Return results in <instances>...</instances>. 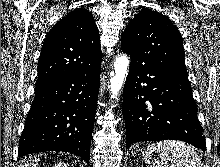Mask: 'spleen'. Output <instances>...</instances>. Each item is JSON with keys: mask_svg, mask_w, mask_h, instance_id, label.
Wrapping results in <instances>:
<instances>
[{"mask_svg": "<svg viewBox=\"0 0 220 167\" xmlns=\"http://www.w3.org/2000/svg\"><path fill=\"white\" fill-rule=\"evenodd\" d=\"M154 153L159 154L161 161L157 158H151ZM143 156L150 164V167H166L168 162L171 164V167H203L201 159L194 148L177 140L153 143L147 146ZM163 161L166 162L165 165ZM151 162H153V166Z\"/></svg>", "mask_w": 220, "mask_h": 167, "instance_id": "obj_1", "label": "spleen"}]
</instances>
